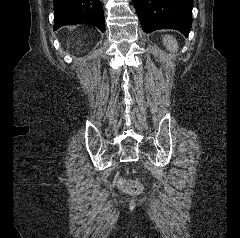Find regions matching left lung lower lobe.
<instances>
[{
  "label": "left lung lower lobe",
  "instance_id": "obj_1",
  "mask_svg": "<svg viewBox=\"0 0 240 238\" xmlns=\"http://www.w3.org/2000/svg\"><path fill=\"white\" fill-rule=\"evenodd\" d=\"M142 29H176L188 37L192 26V0H132Z\"/></svg>",
  "mask_w": 240,
  "mask_h": 238
}]
</instances>
